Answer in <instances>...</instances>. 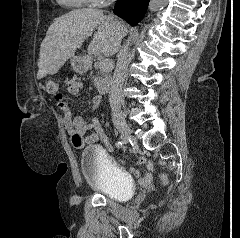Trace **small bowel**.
Returning a JSON list of instances; mask_svg holds the SVG:
<instances>
[{"label": "small bowel", "mask_w": 240, "mask_h": 238, "mask_svg": "<svg viewBox=\"0 0 240 238\" xmlns=\"http://www.w3.org/2000/svg\"><path fill=\"white\" fill-rule=\"evenodd\" d=\"M85 87L81 82L72 81L71 84L68 85L67 91L72 95H77L81 91H84ZM102 101L101 96H96L93 98L91 103L92 111H95ZM58 108L62 114L63 123L68 134L73 138V143L76 147H81L85 144H90L97 142L103 143V146H107V151H113L114 154L118 153L117 149H114V146H110V141L106 138L104 129L100 123V120L97 117H93L90 120H86L83 117L72 116L71 109L67 102L58 101ZM88 131H91L87 134ZM75 136H80V143H76L74 141ZM118 166H128V161H123L122 157L116 158ZM144 161V159H141ZM139 167L138 165L136 166ZM136 167H130L129 171L134 172L135 175H139V179H137V184H140L141 187H152V182H150L153 178L154 173V165L151 162L147 163V173L146 175H141V170H137Z\"/></svg>", "instance_id": "obj_1"}]
</instances>
